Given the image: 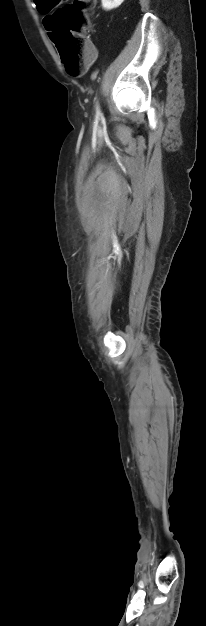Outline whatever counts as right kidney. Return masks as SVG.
<instances>
[{"label": "right kidney", "mask_w": 206, "mask_h": 626, "mask_svg": "<svg viewBox=\"0 0 206 626\" xmlns=\"http://www.w3.org/2000/svg\"><path fill=\"white\" fill-rule=\"evenodd\" d=\"M102 7L105 11H110L114 8L119 7L124 0H101Z\"/></svg>", "instance_id": "obj_1"}]
</instances>
